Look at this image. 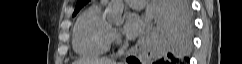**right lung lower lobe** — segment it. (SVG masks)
Returning a JSON list of instances; mask_svg holds the SVG:
<instances>
[{"instance_id":"1","label":"right lung lower lobe","mask_w":242,"mask_h":64,"mask_svg":"<svg viewBox=\"0 0 242 64\" xmlns=\"http://www.w3.org/2000/svg\"><path fill=\"white\" fill-rule=\"evenodd\" d=\"M156 17L161 23L163 54L156 64H172L180 61L188 50L191 40V13L187 0H156ZM186 59V57H184ZM129 64H138L135 57L127 59ZM154 63V64H155Z\"/></svg>"}]
</instances>
